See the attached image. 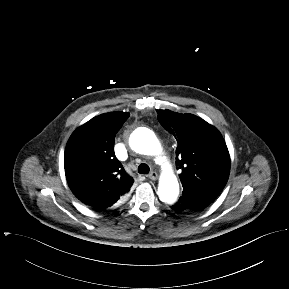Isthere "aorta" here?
Wrapping results in <instances>:
<instances>
[{
  "instance_id": "762f6f07",
  "label": "aorta",
  "mask_w": 289,
  "mask_h": 289,
  "mask_svg": "<svg viewBox=\"0 0 289 289\" xmlns=\"http://www.w3.org/2000/svg\"><path fill=\"white\" fill-rule=\"evenodd\" d=\"M131 148L140 154L156 156L161 153V145L155 134L148 129L134 132L129 140ZM158 163L162 165L163 172L159 179V199L173 204L179 195V183L172 170L171 164L165 158L159 157Z\"/></svg>"
}]
</instances>
